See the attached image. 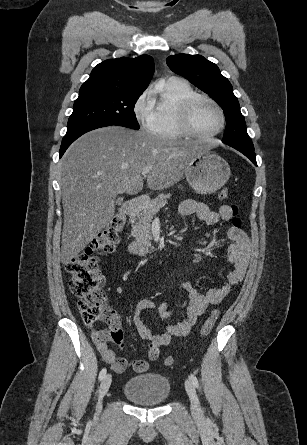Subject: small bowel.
Instances as JSON below:
<instances>
[{"label":"small bowel","mask_w":307,"mask_h":445,"mask_svg":"<svg viewBox=\"0 0 307 445\" xmlns=\"http://www.w3.org/2000/svg\"><path fill=\"white\" fill-rule=\"evenodd\" d=\"M179 212L183 216L194 215L209 226L234 217L229 205H223L218 211H212L206 205L194 200L183 201ZM228 238L231 243L227 249V258L233 264L234 269L228 274L227 282L220 287L210 288L206 292L199 291L190 282H183L184 299L179 303V306L186 310L183 320L168 324L162 333H154L142 319L143 312L155 307L154 301L146 298L137 303L133 313V323L140 338L148 342V358L151 361L158 359L160 348L167 345L172 338L187 336L206 309L211 305H219L229 294L231 288L243 280L251 255L249 237L241 228L233 226L228 230ZM158 313L162 319H170L172 305L167 302L161 303L158 306ZM92 338L103 360L110 364L115 372H124L128 362L125 358L116 356L115 352L105 343L108 340V331L92 330ZM147 368L146 360L139 359L133 362V369L137 373L145 372Z\"/></svg>","instance_id":"small-bowel-1"}]
</instances>
